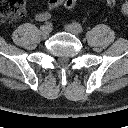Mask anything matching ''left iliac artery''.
<instances>
[{
  "label": "left iliac artery",
  "mask_w": 128,
  "mask_h": 128,
  "mask_svg": "<svg viewBox=\"0 0 128 128\" xmlns=\"http://www.w3.org/2000/svg\"><path fill=\"white\" fill-rule=\"evenodd\" d=\"M73 26H74V28H75L78 32H82V31H83V28H82V26H81L79 23L74 22V23H73Z\"/></svg>",
  "instance_id": "obj_1"
}]
</instances>
